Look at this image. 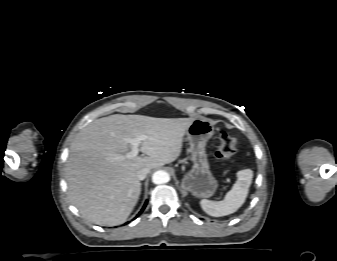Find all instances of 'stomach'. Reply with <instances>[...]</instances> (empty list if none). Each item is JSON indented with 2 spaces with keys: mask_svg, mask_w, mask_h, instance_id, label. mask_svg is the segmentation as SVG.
Here are the masks:
<instances>
[{
  "mask_svg": "<svg viewBox=\"0 0 337 261\" xmlns=\"http://www.w3.org/2000/svg\"><path fill=\"white\" fill-rule=\"evenodd\" d=\"M213 133V123L205 118L194 119L186 130L193 166L183 176L181 187L197 198L212 197L218 187V182L210 171L206 153V144Z\"/></svg>",
  "mask_w": 337,
  "mask_h": 261,
  "instance_id": "stomach-1",
  "label": "stomach"
}]
</instances>
